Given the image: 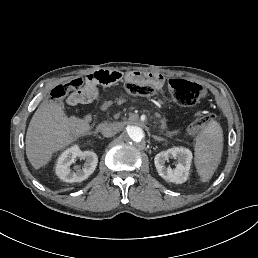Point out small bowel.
<instances>
[{
  "label": "small bowel",
  "mask_w": 258,
  "mask_h": 258,
  "mask_svg": "<svg viewBox=\"0 0 258 258\" xmlns=\"http://www.w3.org/2000/svg\"><path fill=\"white\" fill-rule=\"evenodd\" d=\"M96 96V88L86 85V87L78 92L71 94L68 98V102L71 105L86 103L93 100ZM90 116L85 117V121H90Z\"/></svg>",
  "instance_id": "c3829d8e"
}]
</instances>
